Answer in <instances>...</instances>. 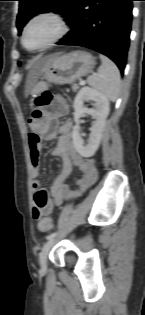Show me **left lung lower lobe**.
Segmentation results:
<instances>
[{
    "label": "left lung lower lobe",
    "mask_w": 145,
    "mask_h": 315,
    "mask_svg": "<svg viewBox=\"0 0 145 315\" xmlns=\"http://www.w3.org/2000/svg\"><path fill=\"white\" fill-rule=\"evenodd\" d=\"M134 0H77L68 18L71 30L59 45L84 46L100 52L123 74L127 61Z\"/></svg>",
    "instance_id": "0a47b994"
}]
</instances>
